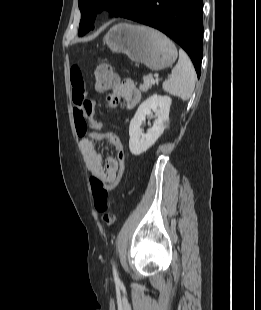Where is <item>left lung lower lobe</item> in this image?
I'll list each match as a JSON object with an SVG mask.
<instances>
[{
	"mask_svg": "<svg viewBox=\"0 0 261 310\" xmlns=\"http://www.w3.org/2000/svg\"><path fill=\"white\" fill-rule=\"evenodd\" d=\"M202 13V0H135L123 17L154 27L172 38L188 53L200 77Z\"/></svg>",
	"mask_w": 261,
	"mask_h": 310,
	"instance_id": "obj_1",
	"label": "left lung lower lobe"
}]
</instances>
